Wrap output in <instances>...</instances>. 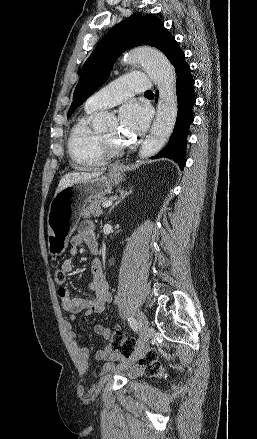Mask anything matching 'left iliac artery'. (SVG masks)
<instances>
[{
  "instance_id": "1",
  "label": "left iliac artery",
  "mask_w": 257,
  "mask_h": 439,
  "mask_svg": "<svg viewBox=\"0 0 257 439\" xmlns=\"http://www.w3.org/2000/svg\"><path fill=\"white\" fill-rule=\"evenodd\" d=\"M128 322L131 326V328L136 331L137 330V324H136V320L133 317H129L128 318Z\"/></svg>"
}]
</instances>
